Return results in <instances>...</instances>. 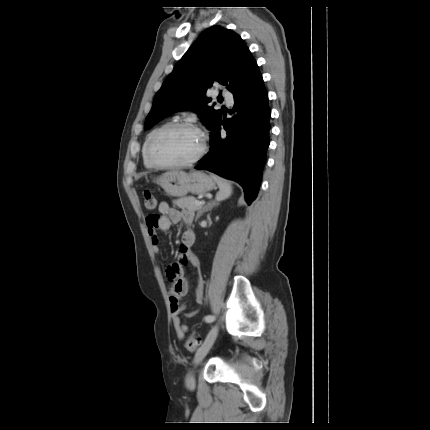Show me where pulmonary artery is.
Masks as SVG:
<instances>
[{
    "mask_svg": "<svg viewBox=\"0 0 430 430\" xmlns=\"http://www.w3.org/2000/svg\"><path fill=\"white\" fill-rule=\"evenodd\" d=\"M222 94L225 96L228 102L230 103L232 102V95L230 92H228L227 90H223Z\"/></svg>",
    "mask_w": 430,
    "mask_h": 430,
    "instance_id": "1",
    "label": "pulmonary artery"
}]
</instances>
